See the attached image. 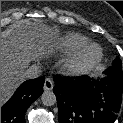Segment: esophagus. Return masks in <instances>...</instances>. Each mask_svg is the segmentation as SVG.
Here are the masks:
<instances>
[{
  "mask_svg": "<svg viewBox=\"0 0 123 123\" xmlns=\"http://www.w3.org/2000/svg\"><path fill=\"white\" fill-rule=\"evenodd\" d=\"M53 86H54V84H53L52 79L51 78H46L45 82H44V90L45 91H50V90L53 89Z\"/></svg>",
  "mask_w": 123,
  "mask_h": 123,
  "instance_id": "esophagus-1",
  "label": "esophagus"
}]
</instances>
